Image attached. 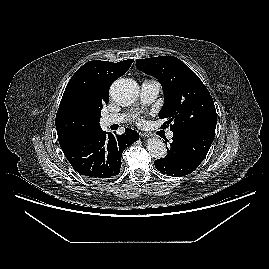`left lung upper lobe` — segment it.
I'll list each match as a JSON object with an SVG mask.
<instances>
[{"label": "left lung upper lobe", "mask_w": 269, "mask_h": 269, "mask_svg": "<svg viewBox=\"0 0 269 269\" xmlns=\"http://www.w3.org/2000/svg\"><path fill=\"white\" fill-rule=\"evenodd\" d=\"M139 70L157 78L164 91L159 118L174 134H215L217 114L213 99L199 77L174 56L136 60Z\"/></svg>", "instance_id": "5c2ea615"}]
</instances>
